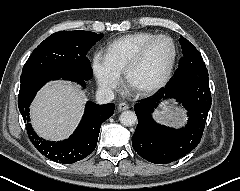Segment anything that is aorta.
<instances>
[{"mask_svg": "<svg viewBox=\"0 0 240 191\" xmlns=\"http://www.w3.org/2000/svg\"><path fill=\"white\" fill-rule=\"evenodd\" d=\"M119 120L124 126H133L137 121V116L133 111L127 110L121 113Z\"/></svg>", "mask_w": 240, "mask_h": 191, "instance_id": "762f6f07", "label": "aorta"}]
</instances>
